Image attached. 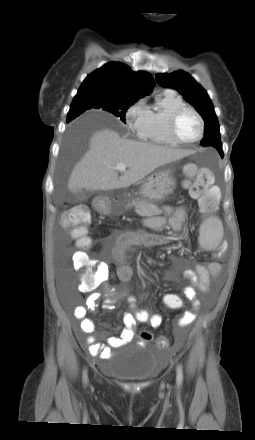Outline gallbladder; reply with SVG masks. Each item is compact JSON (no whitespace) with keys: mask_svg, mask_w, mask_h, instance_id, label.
Wrapping results in <instances>:
<instances>
[{"mask_svg":"<svg viewBox=\"0 0 255 440\" xmlns=\"http://www.w3.org/2000/svg\"><path fill=\"white\" fill-rule=\"evenodd\" d=\"M72 201L73 202H82V201H85L86 199H87V195L84 193V192H82V191H77V192H75L74 194H73V196H72Z\"/></svg>","mask_w":255,"mask_h":440,"instance_id":"bac80fb5","label":"gallbladder"}]
</instances>
